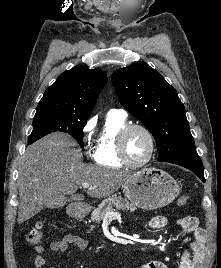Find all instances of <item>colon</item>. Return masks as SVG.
<instances>
[{"instance_id": "1", "label": "colon", "mask_w": 221, "mask_h": 268, "mask_svg": "<svg viewBox=\"0 0 221 268\" xmlns=\"http://www.w3.org/2000/svg\"><path fill=\"white\" fill-rule=\"evenodd\" d=\"M188 202V196H180L177 200L178 205L183 206ZM44 224L42 222L36 223V225L30 229L26 235V242L29 244H37L43 237Z\"/></svg>"}]
</instances>
